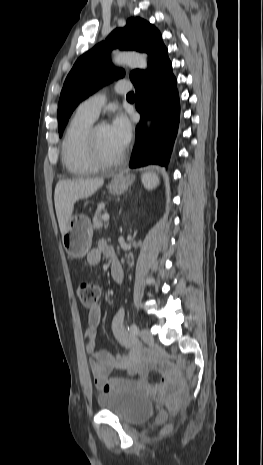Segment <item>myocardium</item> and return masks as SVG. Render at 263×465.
Here are the masks:
<instances>
[{"label":"myocardium","instance_id":"myocardium-1","mask_svg":"<svg viewBox=\"0 0 263 465\" xmlns=\"http://www.w3.org/2000/svg\"><path fill=\"white\" fill-rule=\"evenodd\" d=\"M101 125H105L102 123L93 124L87 131L85 135V146L87 155L90 161L98 168V169H107L114 167L120 164L125 157V151L123 150L122 153L113 158L107 159L102 156L99 150L98 141H97V131Z\"/></svg>","mask_w":263,"mask_h":465}]
</instances>
